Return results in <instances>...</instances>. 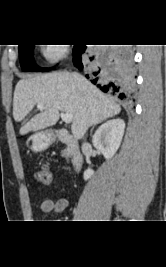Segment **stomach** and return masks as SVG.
Returning a JSON list of instances; mask_svg holds the SVG:
<instances>
[{"mask_svg": "<svg viewBox=\"0 0 166 267\" xmlns=\"http://www.w3.org/2000/svg\"><path fill=\"white\" fill-rule=\"evenodd\" d=\"M53 142V134L48 131H41L33 134L27 141L31 149L40 152L47 149Z\"/></svg>", "mask_w": 166, "mask_h": 267, "instance_id": "stomach-1", "label": "stomach"}]
</instances>
